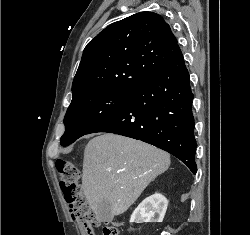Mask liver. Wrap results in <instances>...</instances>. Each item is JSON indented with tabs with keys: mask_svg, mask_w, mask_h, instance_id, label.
I'll return each instance as SVG.
<instances>
[{
	"mask_svg": "<svg viewBox=\"0 0 250 235\" xmlns=\"http://www.w3.org/2000/svg\"><path fill=\"white\" fill-rule=\"evenodd\" d=\"M170 163L168 153L132 138L112 133L92 138L84 151L82 186L96 219L104 200L113 215L123 214Z\"/></svg>",
	"mask_w": 250,
	"mask_h": 235,
	"instance_id": "6515ba94",
	"label": "liver"
}]
</instances>
